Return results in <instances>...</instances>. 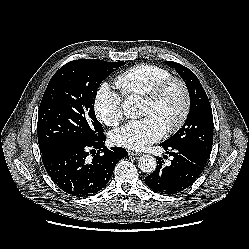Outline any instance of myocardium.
<instances>
[{
  "label": "myocardium",
  "mask_w": 249,
  "mask_h": 249,
  "mask_svg": "<svg viewBox=\"0 0 249 249\" xmlns=\"http://www.w3.org/2000/svg\"><path fill=\"white\" fill-rule=\"evenodd\" d=\"M171 85H176L179 88L182 96V105L176 120L165 128L167 133L177 132L188 118L191 109V96L187 84L179 77L170 76L157 83L143 95L145 101L156 104Z\"/></svg>",
  "instance_id": "1"
}]
</instances>
